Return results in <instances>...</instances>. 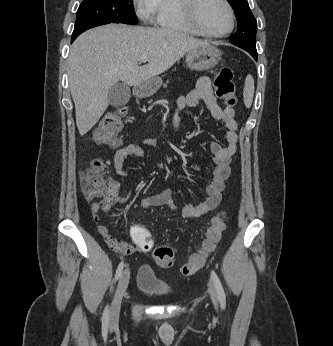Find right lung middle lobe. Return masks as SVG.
<instances>
[{"label":"right lung middle lobe","instance_id":"obj_1","mask_svg":"<svg viewBox=\"0 0 333 346\" xmlns=\"http://www.w3.org/2000/svg\"><path fill=\"white\" fill-rule=\"evenodd\" d=\"M133 0H84L77 11L72 37L104 24H137Z\"/></svg>","mask_w":333,"mask_h":346}]
</instances>
